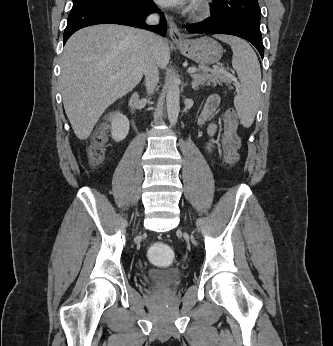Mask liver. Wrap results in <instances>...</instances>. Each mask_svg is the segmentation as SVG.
Wrapping results in <instances>:
<instances>
[{"instance_id":"obj_1","label":"liver","mask_w":333,"mask_h":346,"mask_svg":"<svg viewBox=\"0 0 333 346\" xmlns=\"http://www.w3.org/2000/svg\"><path fill=\"white\" fill-rule=\"evenodd\" d=\"M155 37V60L164 69L170 50L163 38ZM148 49L144 31L121 25L86 27L68 39L60 83L64 109L78 139L86 140L103 112L138 85Z\"/></svg>"}]
</instances>
